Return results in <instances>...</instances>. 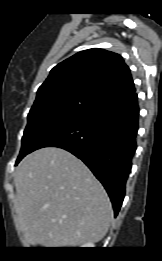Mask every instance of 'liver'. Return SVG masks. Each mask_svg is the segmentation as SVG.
Returning a JSON list of instances; mask_svg holds the SVG:
<instances>
[{"instance_id":"liver-1","label":"liver","mask_w":162,"mask_h":261,"mask_svg":"<svg viewBox=\"0 0 162 261\" xmlns=\"http://www.w3.org/2000/svg\"><path fill=\"white\" fill-rule=\"evenodd\" d=\"M15 209L29 245L79 246L108 232L113 211L99 181L70 152L56 147L27 155L14 175Z\"/></svg>"}]
</instances>
